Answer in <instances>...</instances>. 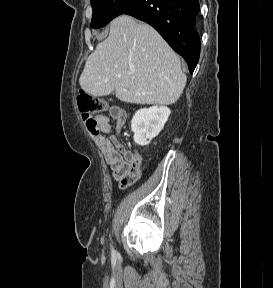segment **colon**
<instances>
[{
    "instance_id": "1",
    "label": "colon",
    "mask_w": 273,
    "mask_h": 288,
    "mask_svg": "<svg viewBox=\"0 0 273 288\" xmlns=\"http://www.w3.org/2000/svg\"><path fill=\"white\" fill-rule=\"evenodd\" d=\"M77 105L87 129L94 135L99 133L97 117L106 110V103L97 97L80 92L77 95Z\"/></svg>"
}]
</instances>
